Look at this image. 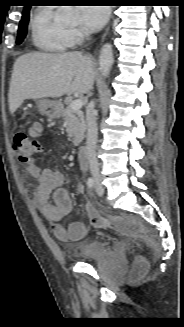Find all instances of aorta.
<instances>
[{
  "label": "aorta",
  "instance_id": "aorta-1",
  "mask_svg": "<svg viewBox=\"0 0 184 327\" xmlns=\"http://www.w3.org/2000/svg\"><path fill=\"white\" fill-rule=\"evenodd\" d=\"M69 14H65V16H68ZM113 49L112 45L109 43H106L102 46L100 50V56H99V66L101 73L104 77H108L111 67L113 65Z\"/></svg>",
  "mask_w": 184,
  "mask_h": 327
}]
</instances>
